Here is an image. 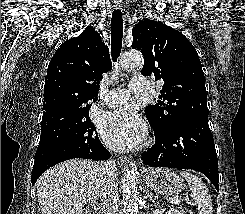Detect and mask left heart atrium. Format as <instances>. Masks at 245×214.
Wrapping results in <instances>:
<instances>
[{"label": "left heart atrium", "mask_w": 245, "mask_h": 214, "mask_svg": "<svg viewBox=\"0 0 245 214\" xmlns=\"http://www.w3.org/2000/svg\"><path fill=\"white\" fill-rule=\"evenodd\" d=\"M98 128L105 143L120 151L135 147L146 134L144 121L129 106L104 114Z\"/></svg>", "instance_id": "39dd6f15"}]
</instances>
